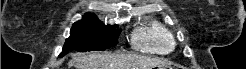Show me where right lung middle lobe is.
Instances as JSON below:
<instances>
[{
    "label": "right lung middle lobe",
    "mask_w": 246,
    "mask_h": 69,
    "mask_svg": "<svg viewBox=\"0 0 246 69\" xmlns=\"http://www.w3.org/2000/svg\"><path fill=\"white\" fill-rule=\"evenodd\" d=\"M117 26L105 25L98 21L76 22L70 31V37L66 39L63 51L59 57L69 51H104L117 44L121 32L115 29Z\"/></svg>",
    "instance_id": "1"
}]
</instances>
